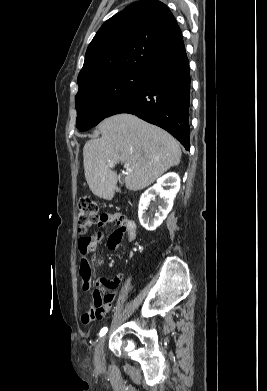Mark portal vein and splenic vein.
Masks as SVG:
<instances>
[{"instance_id":"portal-vein-and-splenic-vein-1","label":"portal vein and splenic vein","mask_w":267,"mask_h":391,"mask_svg":"<svg viewBox=\"0 0 267 391\" xmlns=\"http://www.w3.org/2000/svg\"><path fill=\"white\" fill-rule=\"evenodd\" d=\"M108 165L110 167H113V163L112 162H109ZM124 168L127 170V171H131V169L129 168V164H124Z\"/></svg>"}]
</instances>
